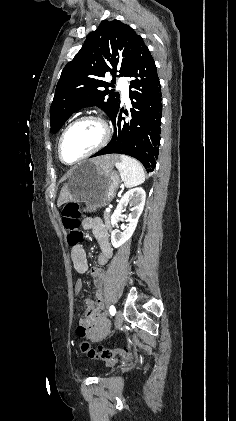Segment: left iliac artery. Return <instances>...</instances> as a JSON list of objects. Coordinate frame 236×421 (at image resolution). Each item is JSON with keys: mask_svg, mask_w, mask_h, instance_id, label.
I'll return each mask as SVG.
<instances>
[{"mask_svg": "<svg viewBox=\"0 0 236 421\" xmlns=\"http://www.w3.org/2000/svg\"><path fill=\"white\" fill-rule=\"evenodd\" d=\"M109 312H110V314H111L112 316H114V315H115V313H116V309H115V307H114L113 305H112V306H110Z\"/></svg>", "mask_w": 236, "mask_h": 421, "instance_id": "1", "label": "left iliac artery"}]
</instances>
